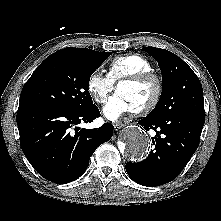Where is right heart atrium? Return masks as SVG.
Here are the masks:
<instances>
[{
  "mask_svg": "<svg viewBox=\"0 0 221 221\" xmlns=\"http://www.w3.org/2000/svg\"><path fill=\"white\" fill-rule=\"evenodd\" d=\"M115 83L100 70L92 72L87 80V91L97 103H104L114 90Z\"/></svg>",
  "mask_w": 221,
  "mask_h": 221,
  "instance_id": "d8ad5b80",
  "label": "right heart atrium"
}]
</instances>
